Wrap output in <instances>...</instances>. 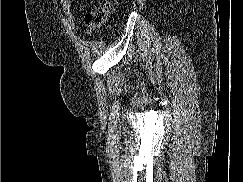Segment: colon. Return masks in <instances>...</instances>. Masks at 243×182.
I'll use <instances>...</instances> for the list:
<instances>
[{
    "label": "colon",
    "mask_w": 243,
    "mask_h": 182,
    "mask_svg": "<svg viewBox=\"0 0 243 182\" xmlns=\"http://www.w3.org/2000/svg\"><path fill=\"white\" fill-rule=\"evenodd\" d=\"M115 9L114 2H108L103 7L88 12L84 17L85 29L92 32L105 25Z\"/></svg>",
    "instance_id": "colon-1"
}]
</instances>
